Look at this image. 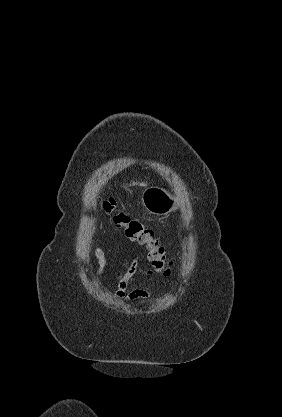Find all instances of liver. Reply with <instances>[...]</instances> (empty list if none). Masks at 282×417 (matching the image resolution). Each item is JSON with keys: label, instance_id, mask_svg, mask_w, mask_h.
<instances>
[{"label": "liver", "instance_id": "liver-1", "mask_svg": "<svg viewBox=\"0 0 282 417\" xmlns=\"http://www.w3.org/2000/svg\"><path fill=\"white\" fill-rule=\"evenodd\" d=\"M142 186H146V184H142Z\"/></svg>", "mask_w": 282, "mask_h": 417}]
</instances>
